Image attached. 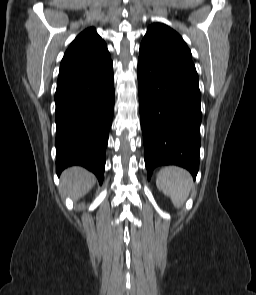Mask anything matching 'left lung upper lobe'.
I'll return each instance as SVG.
<instances>
[{
    "label": "left lung upper lobe",
    "instance_id": "left-lung-upper-lobe-1",
    "mask_svg": "<svg viewBox=\"0 0 256 295\" xmlns=\"http://www.w3.org/2000/svg\"><path fill=\"white\" fill-rule=\"evenodd\" d=\"M138 64L176 84L199 91L192 55L182 37L170 27L152 24L144 36Z\"/></svg>",
    "mask_w": 256,
    "mask_h": 295
}]
</instances>
